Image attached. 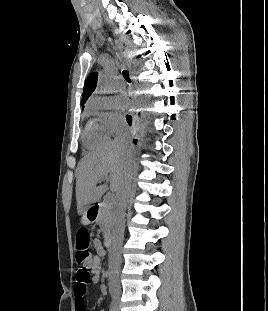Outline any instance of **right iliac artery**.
<instances>
[{
	"label": "right iliac artery",
	"instance_id": "right-iliac-artery-1",
	"mask_svg": "<svg viewBox=\"0 0 268 311\" xmlns=\"http://www.w3.org/2000/svg\"><path fill=\"white\" fill-rule=\"evenodd\" d=\"M110 311H116V307H115L113 301L110 302Z\"/></svg>",
	"mask_w": 268,
	"mask_h": 311
}]
</instances>
